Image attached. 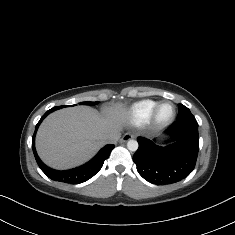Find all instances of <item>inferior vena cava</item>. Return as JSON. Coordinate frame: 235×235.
I'll return each mask as SVG.
<instances>
[{
    "mask_svg": "<svg viewBox=\"0 0 235 235\" xmlns=\"http://www.w3.org/2000/svg\"><path fill=\"white\" fill-rule=\"evenodd\" d=\"M120 136V132H110L104 136L105 143H116Z\"/></svg>",
    "mask_w": 235,
    "mask_h": 235,
    "instance_id": "obj_1",
    "label": "inferior vena cava"
}]
</instances>
